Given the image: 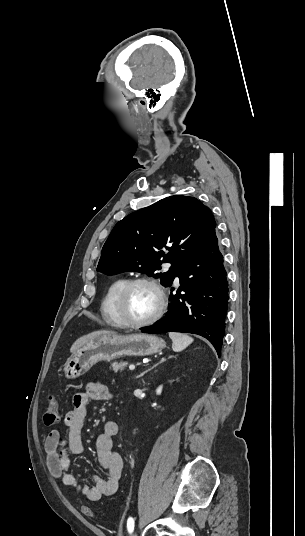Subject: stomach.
Wrapping results in <instances>:
<instances>
[{"label":"stomach","mask_w":305,"mask_h":536,"mask_svg":"<svg viewBox=\"0 0 305 536\" xmlns=\"http://www.w3.org/2000/svg\"><path fill=\"white\" fill-rule=\"evenodd\" d=\"M166 348L164 340L148 334H131V336H98L88 344L75 350L64 364L65 378L74 380L88 372L101 360H116L123 356H152Z\"/></svg>","instance_id":"1"}]
</instances>
